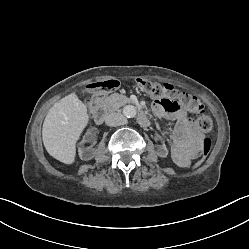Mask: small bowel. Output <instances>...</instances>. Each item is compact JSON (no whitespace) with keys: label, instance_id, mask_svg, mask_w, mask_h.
I'll return each mask as SVG.
<instances>
[{"label":"small bowel","instance_id":"1","mask_svg":"<svg viewBox=\"0 0 249 249\" xmlns=\"http://www.w3.org/2000/svg\"><path fill=\"white\" fill-rule=\"evenodd\" d=\"M153 113L159 118L175 120L171 133V150L176 164L186 167L190 163L192 152L202 146L203 134L187 112L176 101L169 102V109L160 100H155Z\"/></svg>","mask_w":249,"mask_h":249}]
</instances>
